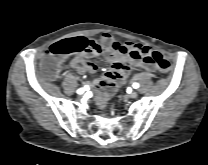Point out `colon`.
Segmentation results:
<instances>
[{"mask_svg": "<svg viewBox=\"0 0 208 165\" xmlns=\"http://www.w3.org/2000/svg\"><path fill=\"white\" fill-rule=\"evenodd\" d=\"M88 47L85 38H68L53 44L41 64L44 76L49 80H54L59 74V59L70 55H76L83 52ZM143 59L155 65L163 73H169L171 69L170 62L159 52L143 50Z\"/></svg>", "mask_w": 208, "mask_h": 165, "instance_id": "colon-1", "label": "colon"}]
</instances>
